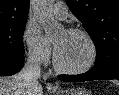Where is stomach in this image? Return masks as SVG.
<instances>
[{
  "label": "stomach",
  "mask_w": 119,
  "mask_h": 95,
  "mask_svg": "<svg viewBox=\"0 0 119 95\" xmlns=\"http://www.w3.org/2000/svg\"><path fill=\"white\" fill-rule=\"evenodd\" d=\"M57 95H92V93L84 88H72L66 91H58Z\"/></svg>",
  "instance_id": "0dacf381"
}]
</instances>
